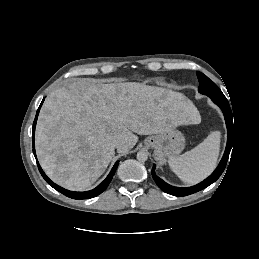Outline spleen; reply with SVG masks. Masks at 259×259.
I'll return each mask as SVG.
<instances>
[{"instance_id":"3e777b00","label":"spleen","mask_w":259,"mask_h":259,"mask_svg":"<svg viewBox=\"0 0 259 259\" xmlns=\"http://www.w3.org/2000/svg\"><path fill=\"white\" fill-rule=\"evenodd\" d=\"M221 133L214 131L192 150L170 157L171 170L185 183L195 184L212 173L217 165Z\"/></svg>"}]
</instances>
